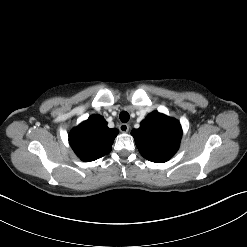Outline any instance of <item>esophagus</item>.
<instances>
[{
	"label": "esophagus",
	"mask_w": 247,
	"mask_h": 247,
	"mask_svg": "<svg viewBox=\"0 0 247 247\" xmlns=\"http://www.w3.org/2000/svg\"><path fill=\"white\" fill-rule=\"evenodd\" d=\"M119 130L122 132V133H127L129 131V125L128 124H125V123H121L119 125Z\"/></svg>",
	"instance_id": "esophagus-1"
}]
</instances>
